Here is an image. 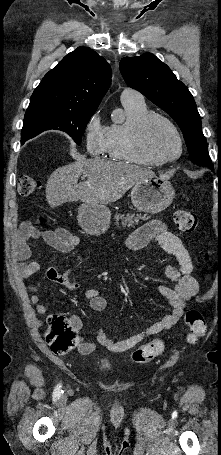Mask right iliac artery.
<instances>
[{"instance_id": "obj_1", "label": "right iliac artery", "mask_w": 221, "mask_h": 455, "mask_svg": "<svg viewBox=\"0 0 221 455\" xmlns=\"http://www.w3.org/2000/svg\"><path fill=\"white\" fill-rule=\"evenodd\" d=\"M60 387H61V386L59 385V386H57V387L55 388V390H54L55 393H60Z\"/></svg>"}]
</instances>
